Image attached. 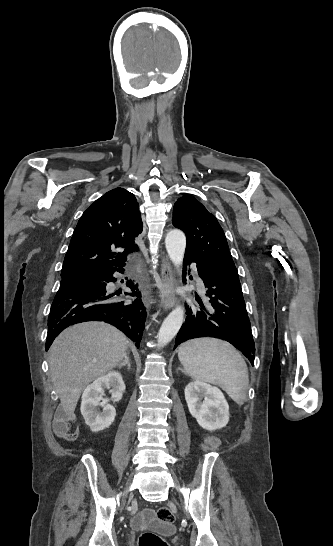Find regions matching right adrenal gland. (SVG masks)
Segmentation results:
<instances>
[{
    "label": "right adrenal gland",
    "instance_id": "1",
    "mask_svg": "<svg viewBox=\"0 0 333 546\" xmlns=\"http://www.w3.org/2000/svg\"><path fill=\"white\" fill-rule=\"evenodd\" d=\"M126 365H127V368L130 370L131 365H130V361H129V351H127L125 353L124 361L118 365V368H121L122 366H126Z\"/></svg>",
    "mask_w": 333,
    "mask_h": 546
}]
</instances>
